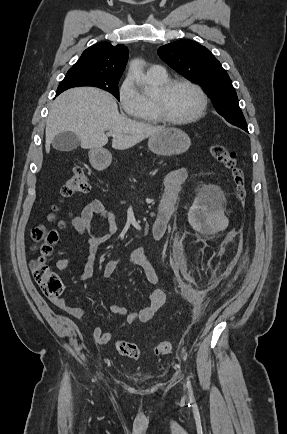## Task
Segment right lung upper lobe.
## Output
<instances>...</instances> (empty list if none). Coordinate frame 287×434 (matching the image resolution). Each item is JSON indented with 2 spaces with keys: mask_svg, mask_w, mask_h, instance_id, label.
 Here are the masks:
<instances>
[{
  "mask_svg": "<svg viewBox=\"0 0 287 434\" xmlns=\"http://www.w3.org/2000/svg\"><path fill=\"white\" fill-rule=\"evenodd\" d=\"M128 59L124 45L101 42L86 49L68 72H78L107 78H120ZM60 93L57 92L56 96Z\"/></svg>",
  "mask_w": 287,
  "mask_h": 434,
  "instance_id": "1",
  "label": "right lung upper lobe"
}]
</instances>
